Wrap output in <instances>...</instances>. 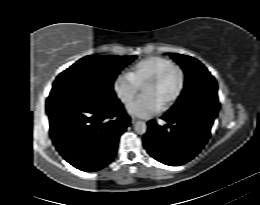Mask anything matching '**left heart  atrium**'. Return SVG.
Instances as JSON below:
<instances>
[{"label": "left heart atrium", "instance_id": "39dd6f15", "mask_svg": "<svg viewBox=\"0 0 260 205\" xmlns=\"http://www.w3.org/2000/svg\"><path fill=\"white\" fill-rule=\"evenodd\" d=\"M144 105H145L146 109L148 110V112H155L159 108V105L156 102H152L151 100L144 102Z\"/></svg>", "mask_w": 260, "mask_h": 205}]
</instances>
